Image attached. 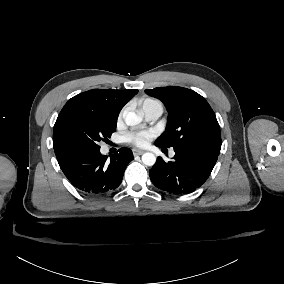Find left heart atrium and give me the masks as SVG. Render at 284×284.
Returning <instances> with one entry per match:
<instances>
[{
	"label": "left heart atrium",
	"mask_w": 284,
	"mask_h": 284,
	"mask_svg": "<svg viewBox=\"0 0 284 284\" xmlns=\"http://www.w3.org/2000/svg\"><path fill=\"white\" fill-rule=\"evenodd\" d=\"M152 136L153 134L150 131L138 130V131L129 133L127 135V140L133 145L142 147V146L147 145L150 142Z\"/></svg>",
	"instance_id": "39dd6f15"
}]
</instances>
